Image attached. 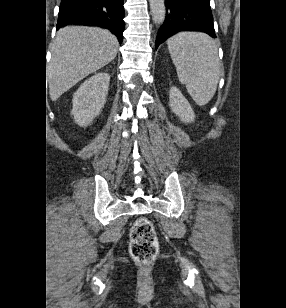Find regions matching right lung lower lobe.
I'll use <instances>...</instances> for the list:
<instances>
[{"mask_svg":"<svg viewBox=\"0 0 286 308\" xmlns=\"http://www.w3.org/2000/svg\"><path fill=\"white\" fill-rule=\"evenodd\" d=\"M123 0H61L57 29L70 24L111 30L122 43L125 23Z\"/></svg>","mask_w":286,"mask_h":308,"instance_id":"98d812e1","label":"right lung lower lobe"}]
</instances>
